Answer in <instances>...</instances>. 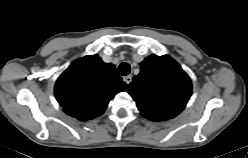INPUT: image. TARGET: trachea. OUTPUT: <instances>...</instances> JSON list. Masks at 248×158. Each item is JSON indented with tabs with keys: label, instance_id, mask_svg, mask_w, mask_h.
Wrapping results in <instances>:
<instances>
[{
	"label": "trachea",
	"instance_id": "1",
	"mask_svg": "<svg viewBox=\"0 0 248 158\" xmlns=\"http://www.w3.org/2000/svg\"><path fill=\"white\" fill-rule=\"evenodd\" d=\"M130 65L126 62H123L120 64V66L118 67V72L120 75L122 76H126L130 73Z\"/></svg>",
	"mask_w": 248,
	"mask_h": 158
}]
</instances>
